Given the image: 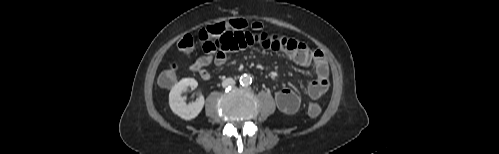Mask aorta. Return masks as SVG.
Listing matches in <instances>:
<instances>
[{"mask_svg":"<svg viewBox=\"0 0 499 154\" xmlns=\"http://www.w3.org/2000/svg\"><path fill=\"white\" fill-rule=\"evenodd\" d=\"M240 84L243 86H247L252 83V78L248 74L241 75L240 79Z\"/></svg>","mask_w":499,"mask_h":154,"instance_id":"obj_1","label":"aorta"}]
</instances>
